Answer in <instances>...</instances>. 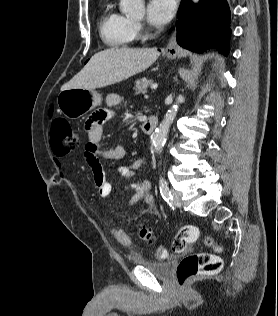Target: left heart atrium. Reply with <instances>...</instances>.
<instances>
[{
    "instance_id": "1",
    "label": "left heart atrium",
    "mask_w": 278,
    "mask_h": 316,
    "mask_svg": "<svg viewBox=\"0 0 278 316\" xmlns=\"http://www.w3.org/2000/svg\"><path fill=\"white\" fill-rule=\"evenodd\" d=\"M174 0H149L146 6L148 22L153 26L168 23L174 14Z\"/></svg>"
}]
</instances>
